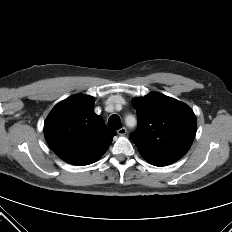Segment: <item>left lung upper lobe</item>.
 Returning <instances> with one entry per match:
<instances>
[{
	"label": "left lung upper lobe",
	"instance_id": "5c2ea615",
	"mask_svg": "<svg viewBox=\"0 0 232 232\" xmlns=\"http://www.w3.org/2000/svg\"><path fill=\"white\" fill-rule=\"evenodd\" d=\"M138 131L131 134L142 157L153 165L172 164L189 150L196 134L193 111L161 93L133 100Z\"/></svg>",
	"mask_w": 232,
	"mask_h": 232
}]
</instances>
